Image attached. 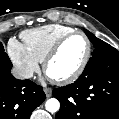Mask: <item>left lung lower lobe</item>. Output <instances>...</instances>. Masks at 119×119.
<instances>
[{"label": "left lung lower lobe", "mask_w": 119, "mask_h": 119, "mask_svg": "<svg viewBox=\"0 0 119 119\" xmlns=\"http://www.w3.org/2000/svg\"><path fill=\"white\" fill-rule=\"evenodd\" d=\"M55 119H119V52L111 48L92 62L72 84L56 88Z\"/></svg>", "instance_id": "0a47b994"}]
</instances>
